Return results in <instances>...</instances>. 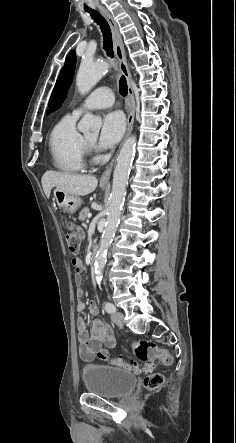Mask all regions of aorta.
Returning <instances> with one entry per match:
<instances>
[{"mask_svg":"<svg viewBox=\"0 0 236 443\" xmlns=\"http://www.w3.org/2000/svg\"><path fill=\"white\" fill-rule=\"evenodd\" d=\"M108 68L109 64L107 62L93 63L83 60L76 76V86L78 91L81 94L88 93L105 75ZM101 125L102 121L99 117L94 116L91 113H86L78 123V130L85 134H98ZM135 146L136 137H129L120 150L117 164L114 169L106 226L100 240V247L96 253L94 263V273L98 283L102 280L103 269L107 262V251L120 220Z\"/></svg>","mask_w":236,"mask_h":443,"instance_id":"1","label":"aorta"}]
</instances>
